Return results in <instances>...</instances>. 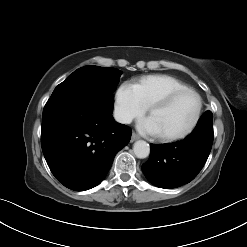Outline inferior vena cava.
<instances>
[{
    "mask_svg": "<svg viewBox=\"0 0 247 247\" xmlns=\"http://www.w3.org/2000/svg\"><path fill=\"white\" fill-rule=\"evenodd\" d=\"M114 118L117 122L122 124H129L132 122V117L126 112L119 109H115Z\"/></svg>",
    "mask_w": 247,
    "mask_h": 247,
    "instance_id": "602c4592",
    "label": "inferior vena cava"
}]
</instances>
